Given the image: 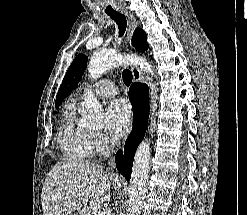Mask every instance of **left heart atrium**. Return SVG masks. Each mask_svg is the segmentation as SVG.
<instances>
[{
  "label": "left heart atrium",
  "instance_id": "left-heart-atrium-1",
  "mask_svg": "<svg viewBox=\"0 0 247 215\" xmlns=\"http://www.w3.org/2000/svg\"><path fill=\"white\" fill-rule=\"evenodd\" d=\"M130 127V107L123 99L113 100L106 109V129L115 139L124 136Z\"/></svg>",
  "mask_w": 247,
  "mask_h": 215
}]
</instances>
